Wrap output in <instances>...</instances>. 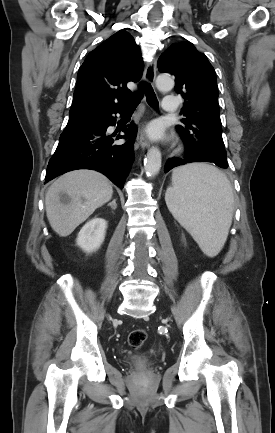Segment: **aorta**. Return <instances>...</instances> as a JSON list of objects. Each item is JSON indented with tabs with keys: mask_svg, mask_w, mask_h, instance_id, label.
I'll return each instance as SVG.
<instances>
[{
	"mask_svg": "<svg viewBox=\"0 0 275 433\" xmlns=\"http://www.w3.org/2000/svg\"><path fill=\"white\" fill-rule=\"evenodd\" d=\"M156 85L160 90H170L174 87V79L170 75L162 74L157 77ZM161 162L160 150L152 147L144 160L145 172L151 177L157 175L161 169Z\"/></svg>",
	"mask_w": 275,
	"mask_h": 433,
	"instance_id": "1",
	"label": "aorta"
}]
</instances>
